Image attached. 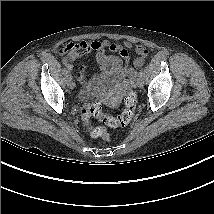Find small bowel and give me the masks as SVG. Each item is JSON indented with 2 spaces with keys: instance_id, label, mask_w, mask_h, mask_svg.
I'll list each match as a JSON object with an SVG mask.
<instances>
[{
  "instance_id": "small-bowel-1",
  "label": "small bowel",
  "mask_w": 214,
  "mask_h": 214,
  "mask_svg": "<svg viewBox=\"0 0 214 214\" xmlns=\"http://www.w3.org/2000/svg\"><path fill=\"white\" fill-rule=\"evenodd\" d=\"M125 46L127 48H132L133 44L130 42H126ZM115 49V50H119L120 47L114 45L113 43H110L109 41H97V40H92V41H80L78 43H74L71 44L69 46L68 49V53L70 55H75L78 56L79 55V51L80 50H84L87 52L93 51L96 53V58H97V62L101 68L102 72H108V71H122V66H121V62L119 60L118 57H114V56H108L105 53V49ZM125 51V50H121ZM75 53V54H73ZM123 58L125 60L128 59L127 55H123ZM86 66H82L80 71L83 72V70L85 69ZM129 88V85H124V89L122 92H126ZM119 95L112 98L109 102H116L119 99Z\"/></svg>"
}]
</instances>
